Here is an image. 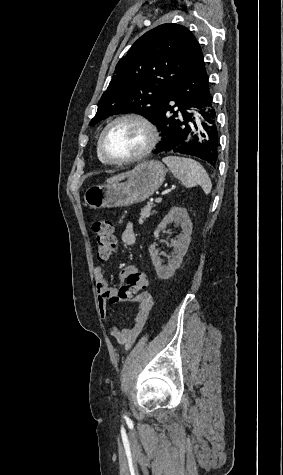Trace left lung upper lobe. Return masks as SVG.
<instances>
[{
  "label": "left lung upper lobe",
  "mask_w": 283,
  "mask_h": 475,
  "mask_svg": "<svg viewBox=\"0 0 283 475\" xmlns=\"http://www.w3.org/2000/svg\"><path fill=\"white\" fill-rule=\"evenodd\" d=\"M202 64L200 45L186 27L162 24L146 32L118 62L89 125L118 113H138L154 123L174 84Z\"/></svg>",
  "instance_id": "obj_1"
}]
</instances>
